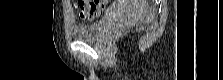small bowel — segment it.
Masks as SVG:
<instances>
[{
  "label": "small bowel",
  "instance_id": "c3829d8e",
  "mask_svg": "<svg viewBox=\"0 0 223 80\" xmlns=\"http://www.w3.org/2000/svg\"><path fill=\"white\" fill-rule=\"evenodd\" d=\"M105 5H106V2L104 1V2L102 3L103 9H104ZM100 13H101V12H100ZM100 13L96 12L92 17H89V18H94L95 16H97V15L100 14Z\"/></svg>",
  "mask_w": 223,
  "mask_h": 80
}]
</instances>
